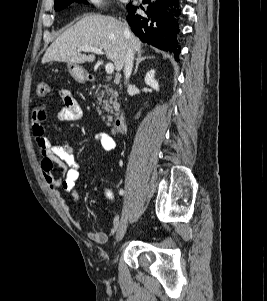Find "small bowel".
<instances>
[{"mask_svg": "<svg viewBox=\"0 0 267 301\" xmlns=\"http://www.w3.org/2000/svg\"><path fill=\"white\" fill-rule=\"evenodd\" d=\"M59 96L63 106L58 111V119L62 121H75L81 119L83 111L73 94L67 89H60ZM46 116V106L44 105L37 106L32 111L31 128L40 152L39 168L48 187L59 199L64 211L69 213V205L62 198L60 190L62 189L73 201L79 199L80 195L77 188V181L80 173L78 163L75 159V149L70 143H52L46 137L43 125ZM95 140L101 144L105 151H111L116 146L113 136L105 132L97 133L95 135ZM55 165L62 170L61 178H56L53 174ZM72 222L76 227L81 228L80 221L73 219ZM118 226L119 218L118 215H116L108 232L88 230L86 235L95 243L104 244L109 240L111 235L115 234Z\"/></svg>", "mask_w": 267, "mask_h": 301, "instance_id": "small-bowel-1", "label": "small bowel"}]
</instances>
